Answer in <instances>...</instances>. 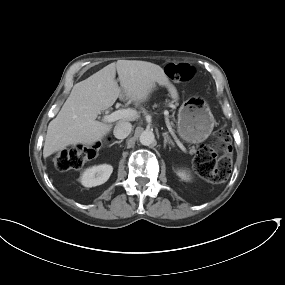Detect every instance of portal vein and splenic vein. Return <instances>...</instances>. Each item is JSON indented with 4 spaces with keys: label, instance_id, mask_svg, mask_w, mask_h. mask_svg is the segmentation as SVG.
I'll use <instances>...</instances> for the list:
<instances>
[{
    "label": "portal vein and splenic vein",
    "instance_id": "obj_1",
    "mask_svg": "<svg viewBox=\"0 0 285 285\" xmlns=\"http://www.w3.org/2000/svg\"><path fill=\"white\" fill-rule=\"evenodd\" d=\"M134 111L135 110H132V109H121V110H117L109 115H105L104 116V121L105 122H115L117 120H120L122 118H126V117H129V116H132L134 114ZM165 122H166V125H167V128L169 130V132L172 134V136L175 138V141H176V144L179 146V148L183 151V152H186V148L185 146L175 137L174 133H173V130L171 128V123L169 122V119L168 117L166 116L165 118Z\"/></svg>",
    "mask_w": 285,
    "mask_h": 285
}]
</instances>
